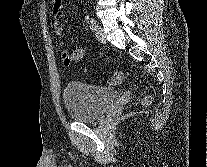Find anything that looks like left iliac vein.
Returning a JSON list of instances; mask_svg holds the SVG:
<instances>
[{
	"instance_id": "left-iliac-vein-1",
	"label": "left iliac vein",
	"mask_w": 207,
	"mask_h": 167,
	"mask_svg": "<svg viewBox=\"0 0 207 167\" xmlns=\"http://www.w3.org/2000/svg\"><path fill=\"white\" fill-rule=\"evenodd\" d=\"M95 36H96V38H97V40L99 42H101V43H105L106 42V39H105V35L103 33V30H102V28L99 25L96 26Z\"/></svg>"
}]
</instances>
